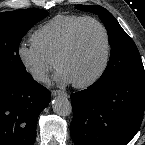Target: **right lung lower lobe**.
Masks as SVG:
<instances>
[{
    "instance_id": "obj_1",
    "label": "right lung lower lobe",
    "mask_w": 145,
    "mask_h": 145,
    "mask_svg": "<svg viewBox=\"0 0 145 145\" xmlns=\"http://www.w3.org/2000/svg\"><path fill=\"white\" fill-rule=\"evenodd\" d=\"M50 102V92L28 73L0 83V145H32L36 120Z\"/></svg>"
}]
</instances>
